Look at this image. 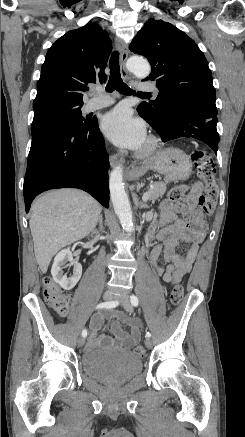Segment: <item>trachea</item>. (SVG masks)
Masks as SVG:
<instances>
[{
    "instance_id": "3493384b",
    "label": "trachea",
    "mask_w": 245,
    "mask_h": 437,
    "mask_svg": "<svg viewBox=\"0 0 245 437\" xmlns=\"http://www.w3.org/2000/svg\"><path fill=\"white\" fill-rule=\"evenodd\" d=\"M110 77L106 86L107 92H113L114 90L124 95H149V93L138 92L136 93L125 84L121 78L119 67V52L114 51L111 55L110 62Z\"/></svg>"
}]
</instances>
